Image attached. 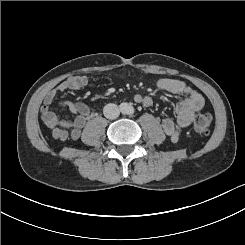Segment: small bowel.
Returning <instances> with one entry per match:
<instances>
[{
  "instance_id": "1",
  "label": "small bowel",
  "mask_w": 245,
  "mask_h": 245,
  "mask_svg": "<svg viewBox=\"0 0 245 245\" xmlns=\"http://www.w3.org/2000/svg\"><path fill=\"white\" fill-rule=\"evenodd\" d=\"M87 82L85 76H72L60 82L45 95L40 110L41 118L55 139L61 141L78 139L86 122L95 116V113L81 102L62 101L58 104L60 108H68L75 115L74 118H59L50 109L58 94L67 90H80ZM156 86L160 91L184 96V99L176 105V117H166L162 121L164 133L176 143L179 141L181 131L191 124L195 113L203 108L204 98L193 87L178 79L162 78L157 81ZM134 100L144 106H151L153 103L152 98L147 95L136 94Z\"/></svg>"
}]
</instances>
